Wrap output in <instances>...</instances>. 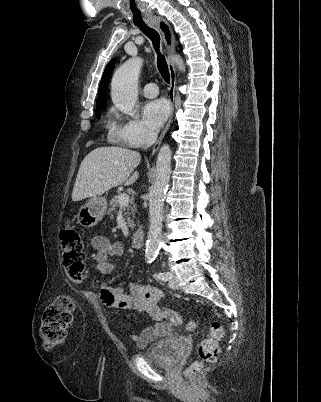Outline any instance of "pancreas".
<instances>
[{"label":"pancreas","mask_w":321,"mask_h":402,"mask_svg":"<svg viewBox=\"0 0 321 402\" xmlns=\"http://www.w3.org/2000/svg\"><path fill=\"white\" fill-rule=\"evenodd\" d=\"M119 196L120 195L114 196L110 201L111 207L108 210V215H110L111 217H113V213H116V209L120 206ZM124 210H125L124 215H125L126 224L128 225L129 228L133 229L135 225H134V221H133L132 217L134 218V215L136 212V205L134 204L133 201H131L130 204L128 203L125 206Z\"/></svg>","instance_id":"obj_1"}]
</instances>
